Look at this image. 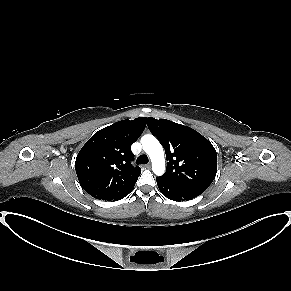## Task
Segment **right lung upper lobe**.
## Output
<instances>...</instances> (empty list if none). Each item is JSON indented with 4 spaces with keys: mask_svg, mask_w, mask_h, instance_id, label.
<instances>
[{
    "mask_svg": "<svg viewBox=\"0 0 291 291\" xmlns=\"http://www.w3.org/2000/svg\"><path fill=\"white\" fill-rule=\"evenodd\" d=\"M146 123V117L122 120L99 130L85 143L76 157L75 170L88 194L100 200H118L134 187L141 169L131 164V145Z\"/></svg>",
    "mask_w": 291,
    "mask_h": 291,
    "instance_id": "1",
    "label": "right lung upper lobe"
}]
</instances>
